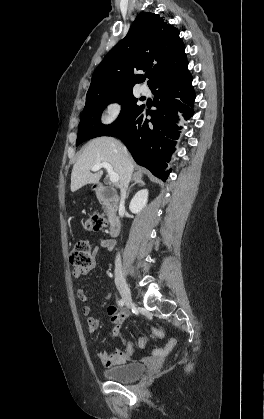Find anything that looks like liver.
Here are the masks:
<instances>
[{"instance_id":"6515ba94","label":"liver","mask_w":264,"mask_h":419,"mask_svg":"<svg viewBox=\"0 0 264 419\" xmlns=\"http://www.w3.org/2000/svg\"><path fill=\"white\" fill-rule=\"evenodd\" d=\"M126 160L134 170V161L125 146L112 137H98L91 140L84 148L71 173V191L75 192L86 184L98 183L103 171L91 173L92 166L107 162L119 176L118 186L124 187L126 181ZM136 174V173H135Z\"/></svg>"}]
</instances>
